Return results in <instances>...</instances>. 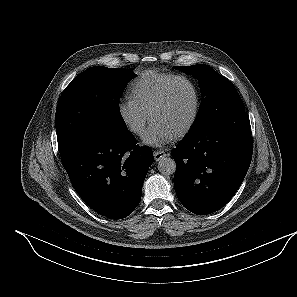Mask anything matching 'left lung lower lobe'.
I'll use <instances>...</instances> for the list:
<instances>
[{"mask_svg": "<svg viewBox=\"0 0 297 297\" xmlns=\"http://www.w3.org/2000/svg\"><path fill=\"white\" fill-rule=\"evenodd\" d=\"M251 135L248 114L238 111L190 132L171 151L174 187L184 207L206 215L230 201L250 166Z\"/></svg>", "mask_w": 297, "mask_h": 297, "instance_id": "obj_1", "label": "left lung lower lobe"}]
</instances>
